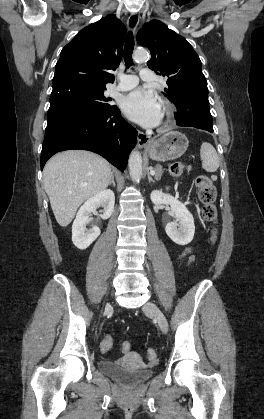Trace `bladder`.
Wrapping results in <instances>:
<instances>
[{"label":"bladder","instance_id":"31cf9c89","mask_svg":"<svg viewBox=\"0 0 264 419\" xmlns=\"http://www.w3.org/2000/svg\"><path fill=\"white\" fill-rule=\"evenodd\" d=\"M98 365L103 373L127 387L137 386L154 374L152 368L131 369L108 360H101Z\"/></svg>","mask_w":264,"mask_h":419}]
</instances>
